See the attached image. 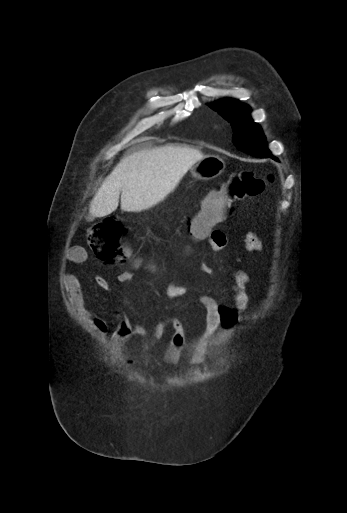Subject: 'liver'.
<instances>
[{"mask_svg": "<svg viewBox=\"0 0 347 513\" xmlns=\"http://www.w3.org/2000/svg\"><path fill=\"white\" fill-rule=\"evenodd\" d=\"M204 154L187 146H160L135 152L117 164L90 203L87 220L111 214L146 210L163 200L189 168Z\"/></svg>", "mask_w": 347, "mask_h": 513, "instance_id": "1", "label": "liver"}]
</instances>
